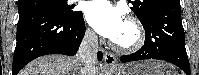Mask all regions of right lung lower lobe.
<instances>
[{
	"instance_id": "98d812e1",
	"label": "right lung lower lobe",
	"mask_w": 199,
	"mask_h": 75,
	"mask_svg": "<svg viewBox=\"0 0 199 75\" xmlns=\"http://www.w3.org/2000/svg\"><path fill=\"white\" fill-rule=\"evenodd\" d=\"M84 34L85 22L80 11L70 20L40 10L19 13L12 75H16L27 63L43 55H75ZM102 56L98 52V60Z\"/></svg>"
}]
</instances>
